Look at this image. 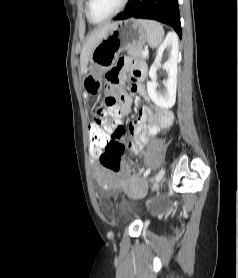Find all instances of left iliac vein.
Here are the masks:
<instances>
[{"instance_id":"4c4485c4","label":"left iliac vein","mask_w":238,"mask_h":278,"mask_svg":"<svg viewBox=\"0 0 238 278\" xmlns=\"http://www.w3.org/2000/svg\"><path fill=\"white\" fill-rule=\"evenodd\" d=\"M164 175H165V168H162V169L158 172V174H157V176L155 177L154 181L152 180L153 185H151V188H153V189H155V190H158V187L160 186V182H161V180L163 179Z\"/></svg>"}]
</instances>
